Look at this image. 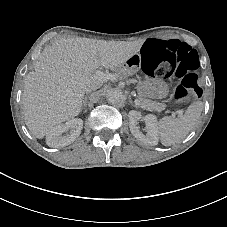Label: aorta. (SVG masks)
I'll list each match as a JSON object with an SVG mask.
<instances>
[{"label":"aorta","instance_id":"1","mask_svg":"<svg viewBox=\"0 0 227 227\" xmlns=\"http://www.w3.org/2000/svg\"><path fill=\"white\" fill-rule=\"evenodd\" d=\"M123 92L120 89H111L107 92L106 99L111 104H117L123 100Z\"/></svg>","mask_w":227,"mask_h":227}]
</instances>
